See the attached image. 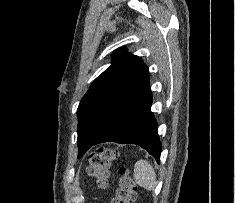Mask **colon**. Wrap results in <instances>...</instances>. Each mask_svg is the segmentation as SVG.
<instances>
[{
  "instance_id": "5ec220e1",
  "label": "colon",
  "mask_w": 235,
  "mask_h": 203,
  "mask_svg": "<svg viewBox=\"0 0 235 203\" xmlns=\"http://www.w3.org/2000/svg\"><path fill=\"white\" fill-rule=\"evenodd\" d=\"M118 152L112 148H100L93 152L89 158L88 175L96 179L101 188L108 186L109 168L111 162L116 160ZM136 200V184L129 171L120 167L119 179L114 198L111 203H134Z\"/></svg>"
}]
</instances>
